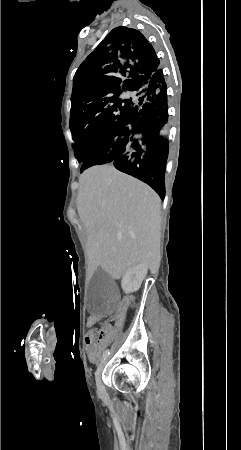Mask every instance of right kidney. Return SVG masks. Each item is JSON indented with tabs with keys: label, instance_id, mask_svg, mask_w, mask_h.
<instances>
[{
	"label": "right kidney",
	"instance_id": "right-kidney-1",
	"mask_svg": "<svg viewBox=\"0 0 241 450\" xmlns=\"http://www.w3.org/2000/svg\"><path fill=\"white\" fill-rule=\"evenodd\" d=\"M148 272V266L145 264H138V266H133L125 272L121 286L125 294H132V292H137L141 288V284Z\"/></svg>",
	"mask_w": 241,
	"mask_h": 450
}]
</instances>
